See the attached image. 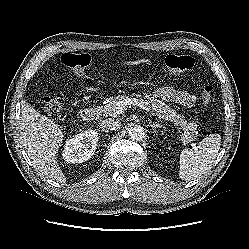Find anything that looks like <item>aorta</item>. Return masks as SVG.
Instances as JSON below:
<instances>
[{
  "label": "aorta",
  "instance_id": "obj_1",
  "mask_svg": "<svg viewBox=\"0 0 249 249\" xmlns=\"http://www.w3.org/2000/svg\"><path fill=\"white\" fill-rule=\"evenodd\" d=\"M128 136L133 141H141L145 137L144 128L140 125H134L128 130Z\"/></svg>",
  "mask_w": 249,
  "mask_h": 249
}]
</instances>
